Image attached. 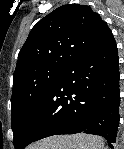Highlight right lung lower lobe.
Returning a JSON list of instances; mask_svg holds the SVG:
<instances>
[{
	"mask_svg": "<svg viewBox=\"0 0 124 149\" xmlns=\"http://www.w3.org/2000/svg\"><path fill=\"white\" fill-rule=\"evenodd\" d=\"M119 60L116 42L65 66L29 121L17 149L59 134L104 137L110 148L119 125Z\"/></svg>",
	"mask_w": 124,
	"mask_h": 149,
	"instance_id": "1",
	"label": "right lung lower lobe"
}]
</instances>
